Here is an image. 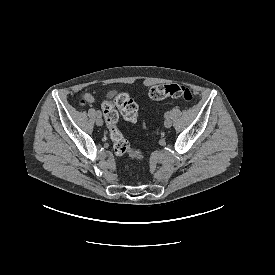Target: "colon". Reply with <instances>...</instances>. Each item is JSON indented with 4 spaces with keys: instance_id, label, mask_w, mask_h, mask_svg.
<instances>
[{
    "instance_id": "obj_1",
    "label": "colon",
    "mask_w": 275,
    "mask_h": 275,
    "mask_svg": "<svg viewBox=\"0 0 275 275\" xmlns=\"http://www.w3.org/2000/svg\"><path fill=\"white\" fill-rule=\"evenodd\" d=\"M149 97L153 100H162L168 97L182 98L188 103L193 99L190 89L177 83L155 85L149 90ZM102 110L115 154L118 156H127L131 160L142 163L144 161L143 151L131 148L128 140L117 127L119 118L118 110H120L124 119L129 122L136 123L141 120L137 104L127 93L121 92L117 95L114 102L105 101L102 104Z\"/></svg>"
}]
</instances>
